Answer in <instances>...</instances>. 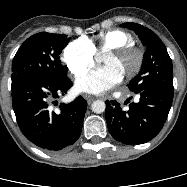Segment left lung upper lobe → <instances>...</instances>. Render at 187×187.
<instances>
[{
	"instance_id": "left-lung-upper-lobe-1",
	"label": "left lung upper lobe",
	"mask_w": 187,
	"mask_h": 187,
	"mask_svg": "<svg viewBox=\"0 0 187 187\" xmlns=\"http://www.w3.org/2000/svg\"><path fill=\"white\" fill-rule=\"evenodd\" d=\"M121 26L133 30L146 46L141 70L127 85L130 91L136 93L158 89L173 92L172 61L161 39L153 31L137 23H124Z\"/></svg>"
}]
</instances>
